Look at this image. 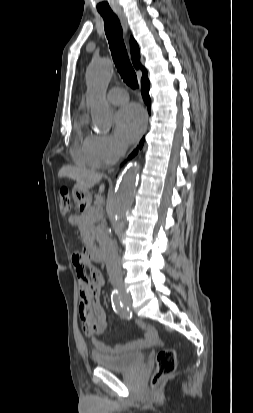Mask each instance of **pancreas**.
I'll list each match as a JSON object with an SVG mask.
<instances>
[{
	"mask_svg": "<svg viewBox=\"0 0 253 413\" xmlns=\"http://www.w3.org/2000/svg\"><path fill=\"white\" fill-rule=\"evenodd\" d=\"M102 214L100 207L89 206L79 217L78 226L82 233L83 243L86 246H92L95 242L97 232L95 224L101 220Z\"/></svg>",
	"mask_w": 253,
	"mask_h": 413,
	"instance_id": "pancreas-1",
	"label": "pancreas"
}]
</instances>
